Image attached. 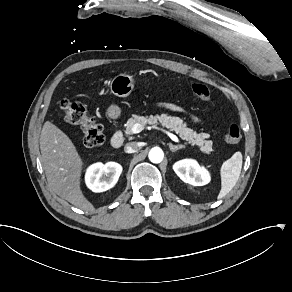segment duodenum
<instances>
[{
  "label": "duodenum",
  "instance_id": "1",
  "mask_svg": "<svg viewBox=\"0 0 292 292\" xmlns=\"http://www.w3.org/2000/svg\"><path fill=\"white\" fill-rule=\"evenodd\" d=\"M111 146L113 148H120L124 143V135L121 130H116L111 137Z\"/></svg>",
  "mask_w": 292,
  "mask_h": 292
}]
</instances>
